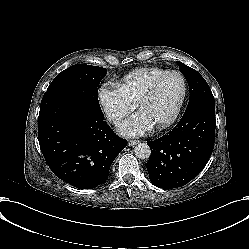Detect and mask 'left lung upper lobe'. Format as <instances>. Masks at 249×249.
<instances>
[{
	"instance_id": "1",
	"label": "left lung upper lobe",
	"mask_w": 249,
	"mask_h": 249,
	"mask_svg": "<svg viewBox=\"0 0 249 249\" xmlns=\"http://www.w3.org/2000/svg\"><path fill=\"white\" fill-rule=\"evenodd\" d=\"M178 64L190 88V100L184 115L203 107H215L214 97L205 79L196 70L181 62Z\"/></svg>"
}]
</instances>
